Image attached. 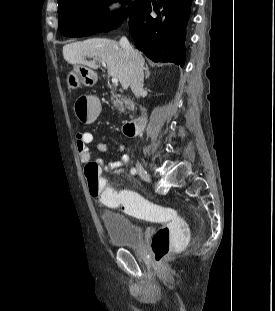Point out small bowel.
Listing matches in <instances>:
<instances>
[{"label": "small bowel", "mask_w": 275, "mask_h": 311, "mask_svg": "<svg viewBox=\"0 0 275 311\" xmlns=\"http://www.w3.org/2000/svg\"><path fill=\"white\" fill-rule=\"evenodd\" d=\"M93 140L94 136L91 132L81 131L77 133L75 146L81 163L87 165L91 162H94L97 164L99 169L107 172L121 173L123 171V165L130 161V157L127 154H122L119 159L113 161L104 158L92 160V154L89 145L93 142ZM96 149L101 153H106L109 151V146L105 142L99 141L96 143ZM124 150L125 146L123 144H119L118 152L123 153Z\"/></svg>", "instance_id": "1"}]
</instances>
